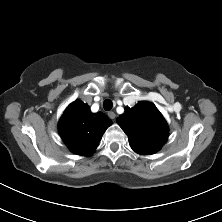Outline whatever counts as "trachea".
<instances>
[{
    "instance_id": "1",
    "label": "trachea",
    "mask_w": 222,
    "mask_h": 222,
    "mask_svg": "<svg viewBox=\"0 0 222 222\" xmlns=\"http://www.w3.org/2000/svg\"><path fill=\"white\" fill-rule=\"evenodd\" d=\"M113 107V103L110 99H106L104 102H103V108L106 110V111H110Z\"/></svg>"
}]
</instances>
